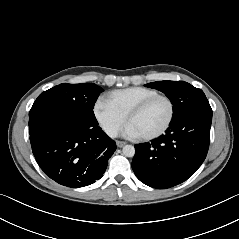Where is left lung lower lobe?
Here are the masks:
<instances>
[{
	"instance_id": "obj_1",
	"label": "left lung lower lobe",
	"mask_w": 239,
	"mask_h": 239,
	"mask_svg": "<svg viewBox=\"0 0 239 239\" xmlns=\"http://www.w3.org/2000/svg\"><path fill=\"white\" fill-rule=\"evenodd\" d=\"M211 121L212 110L193 111L171 121L165 135L135 145L132 168L137 178L158 189L187 180L206 158Z\"/></svg>"
}]
</instances>
